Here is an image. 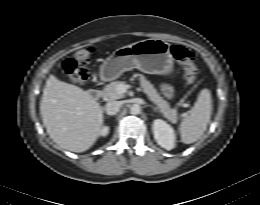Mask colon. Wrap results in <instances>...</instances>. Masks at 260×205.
<instances>
[{
	"instance_id": "5ec220e1",
	"label": "colon",
	"mask_w": 260,
	"mask_h": 205,
	"mask_svg": "<svg viewBox=\"0 0 260 205\" xmlns=\"http://www.w3.org/2000/svg\"><path fill=\"white\" fill-rule=\"evenodd\" d=\"M96 49L93 45L80 47L73 55L64 60L62 68L68 80L75 85H82L88 78V70L83 64L89 62ZM172 55L185 70V79L188 83H194L198 76V68L193 53L182 45L172 46Z\"/></svg>"
}]
</instances>
